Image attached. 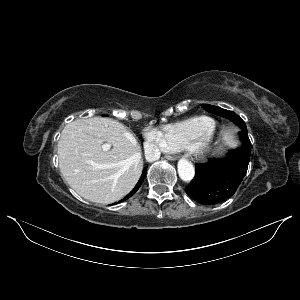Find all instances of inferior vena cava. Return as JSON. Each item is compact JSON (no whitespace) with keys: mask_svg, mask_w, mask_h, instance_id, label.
Instances as JSON below:
<instances>
[{"mask_svg":"<svg viewBox=\"0 0 300 300\" xmlns=\"http://www.w3.org/2000/svg\"><path fill=\"white\" fill-rule=\"evenodd\" d=\"M145 154L148 161H155L160 157V150L154 145L145 147Z\"/></svg>","mask_w":300,"mask_h":300,"instance_id":"1","label":"inferior vena cava"}]
</instances>
